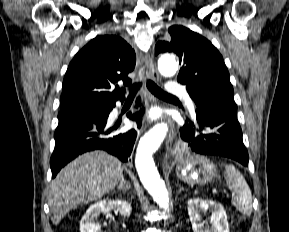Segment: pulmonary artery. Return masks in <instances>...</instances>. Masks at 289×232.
I'll use <instances>...</instances> for the list:
<instances>
[{"mask_svg": "<svg viewBox=\"0 0 289 232\" xmlns=\"http://www.w3.org/2000/svg\"><path fill=\"white\" fill-rule=\"evenodd\" d=\"M166 91L169 94H177V95L183 96L185 101L187 102V104L191 108V110L194 111L193 102H192L191 98L189 97V95L186 91V88L183 85H181L175 81H170L166 85Z\"/></svg>", "mask_w": 289, "mask_h": 232, "instance_id": "pulmonary-artery-1", "label": "pulmonary artery"}]
</instances>
